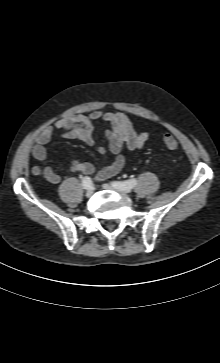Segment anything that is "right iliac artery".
Here are the masks:
<instances>
[{"instance_id":"1","label":"right iliac artery","mask_w":220,"mask_h":363,"mask_svg":"<svg viewBox=\"0 0 220 363\" xmlns=\"http://www.w3.org/2000/svg\"><path fill=\"white\" fill-rule=\"evenodd\" d=\"M82 186L84 189H90L92 187V180L90 177L86 176L82 180Z\"/></svg>"}]
</instances>
